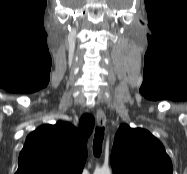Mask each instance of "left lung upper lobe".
Segmentation results:
<instances>
[{
	"instance_id": "1",
	"label": "left lung upper lobe",
	"mask_w": 187,
	"mask_h": 174,
	"mask_svg": "<svg viewBox=\"0 0 187 174\" xmlns=\"http://www.w3.org/2000/svg\"><path fill=\"white\" fill-rule=\"evenodd\" d=\"M113 174H172L163 144L149 131L122 124L111 154Z\"/></svg>"
}]
</instances>
